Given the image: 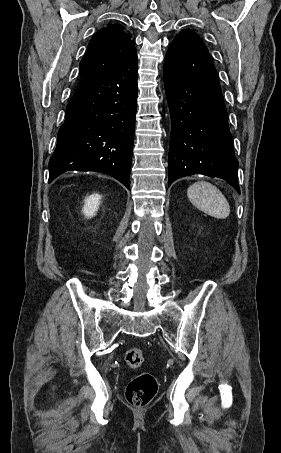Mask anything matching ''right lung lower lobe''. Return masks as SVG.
I'll return each instance as SVG.
<instances>
[{
    "label": "right lung lower lobe",
    "instance_id": "1",
    "mask_svg": "<svg viewBox=\"0 0 281 453\" xmlns=\"http://www.w3.org/2000/svg\"><path fill=\"white\" fill-rule=\"evenodd\" d=\"M137 68L135 53L109 74L81 80L58 132L49 183L69 170L95 171L130 189Z\"/></svg>",
    "mask_w": 281,
    "mask_h": 453
}]
</instances>
